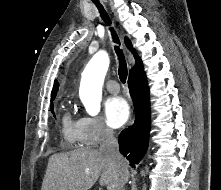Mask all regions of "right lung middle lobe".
I'll list each match as a JSON object with an SVG mask.
<instances>
[{
  "instance_id": "right-lung-middle-lobe-1",
  "label": "right lung middle lobe",
  "mask_w": 221,
  "mask_h": 190,
  "mask_svg": "<svg viewBox=\"0 0 221 190\" xmlns=\"http://www.w3.org/2000/svg\"><path fill=\"white\" fill-rule=\"evenodd\" d=\"M51 112L54 114V111H53V104H51Z\"/></svg>"
}]
</instances>
